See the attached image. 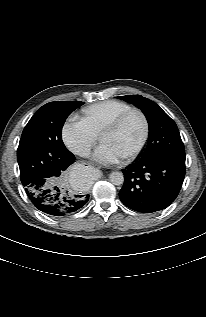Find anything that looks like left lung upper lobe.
<instances>
[{"label":"left lung upper lobe","mask_w":206,"mask_h":317,"mask_svg":"<svg viewBox=\"0 0 206 317\" xmlns=\"http://www.w3.org/2000/svg\"><path fill=\"white\" fill-rule=\"evenodd\" d=\"M140 108L147 118L149 138L141 159L174 158L185 161V149L175 122L153 101L141 95L120 96Z\"/></svg>","instance_id":"obj_1"}]
</instances>
